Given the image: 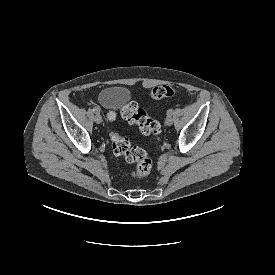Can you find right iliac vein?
<instances>
[{"label": "right iliac vein", "instance_id": "63e3f726", "mask_svg": "<svg viewBox=\"0 0 275 275\" xmlns=\"http://www.w3.org/2000/svg\"><path fill=\"white\" fill-rule=\"evenodd\" d=\"M94 121L97 123V124H100L102 122V117L100 115V112H95V116H94Z\"/></svg>", "mask_w": 275, "mask_h": 275}]
</instances>
